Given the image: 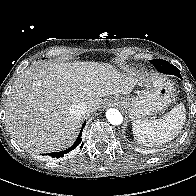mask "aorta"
<instances>
[{
    "mask_svg": "<svg viewBox=\"0 0 196 196\" xmlns=\"http://www.w3.org/2000/svg\"><path fill=\"white\" fill-rule=\"evenodd\" d=\"M106 118L112 125H120L123 122L122 114L114 108H110L106 111Z\"/></svg>",
    "mask_w": 196,
    "mask_h": 196,
    "instance_id": "762f6f07",
    "label": "aorta"
}]
</instances>
